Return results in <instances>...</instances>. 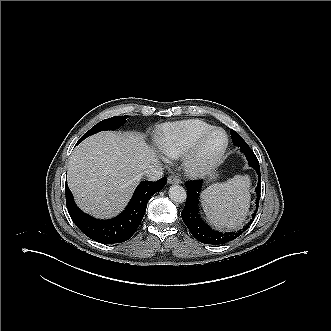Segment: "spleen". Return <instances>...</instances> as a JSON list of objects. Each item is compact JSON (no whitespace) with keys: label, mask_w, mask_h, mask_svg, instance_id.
Here are the masks:
<instances>
[{"label":"spleen","mask_w":331,"mask_h":331,"mask_svg":"<svg viewBox=\"0 0 331 331\" xmlns=\"http://www.w3.org/2000/svg\"><path fill=\"white\" fill-rule=\"evenodd\" d=\"M250 179L235 175L226 182L214 183L201 194L207 218L217 228L233 230L242 226L250 202Z\"/></svg>","instance_id":"3e777b00"}]
</instances>
